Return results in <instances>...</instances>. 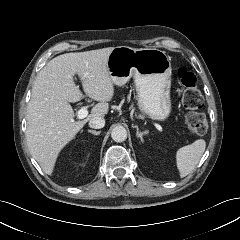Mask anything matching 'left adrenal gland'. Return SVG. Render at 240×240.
<instances>
[{
  "mask_svg": "<svg viewBox=\"0 0 240 240\" xmlns=\"http://www.w3.org/2000/svg\"><path fill=\"white\" fill-rule=\"evenodd\" d=\"M132 127H133V128H136V136H137L138 138H140V140H141L142 142H144L143 136H144V135H147V134H148V131L140 132L137 125L132 126Z\"/></svg>",
  "mask_w": 240,
  "mask_h": 240,
  "instance_id": "1",
  "label": "left adrenal gland"
}]
</instances>
